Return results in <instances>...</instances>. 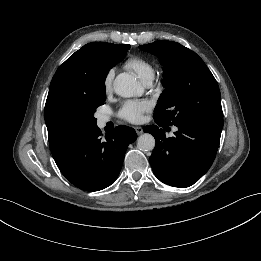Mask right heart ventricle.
<instances>
[{
    "mask_svg": "<svg viewBox=\"0 0 261 261\" xmlns=\"http://www.w3.org/2000/svg\"><path fill=\"white\" fill-rule=\"evenodd\" d=\"M125 66L133 71L144 83L152 81L155 76V67L149 60L143 57L133 56L126 61Z\"/></svg>",
    "mask_w": 261,
    "mask_h": 261,
    "instance_id": "1",
    "label": "right heart ventricle"
}]
</instances>
